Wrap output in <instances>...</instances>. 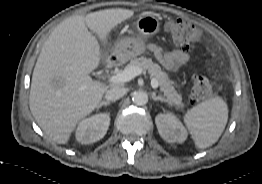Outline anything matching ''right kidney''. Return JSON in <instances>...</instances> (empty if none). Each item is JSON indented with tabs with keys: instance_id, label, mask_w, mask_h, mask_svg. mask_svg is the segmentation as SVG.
<instances>
[{
	"instance_id": "right-kidney-1",
	"label": "right kidney",
	"mask_w": 262,
	"mask_h": 184,
	"mask_svg": "<svg viewBox=\"0 0 262 184\" xmlns=\"http://www.w3.org/2000/svg\"><path fill=\"white\" fill-rule=\"evenodd\" d=\"M109 124L110 117L107 113H99L83 119L76 129V140L81 144L94 143L104 137Z\"/></svg>"
}]
</instances>
